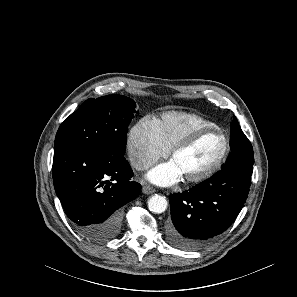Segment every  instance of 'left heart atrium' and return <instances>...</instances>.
Masks as SVG:
<instances>
[{
	"instance_id": "obj_1",
	"label": "left heart atrium",
	"mask_w": 297,
	"mask_h": 297,
	"mask_svg": "<svg viewBox=\"0 0 297 297\" xmlns=\"http://www.w3.org/2000/svg\"><path fill=\"white\" fill-rule=\"evenodd\" d=\"M181 178L182 174L173 161L162 163L147 174V179L150 182L160 186L172 185Z\"/></svg>"
}]
</instances>
